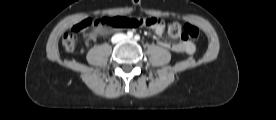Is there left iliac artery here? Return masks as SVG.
I'll return each instance as SVG.
<instances>
[{"label":"left iliac artery","mask_w":276,"mask_h":120,"mask_svg":"<svg viewBox=\"0 0 276 120\" xmlns=\"http://www.w3.org/2000/svg\"><path fill=\"white\" fill-rule=\"evenodd\" d=\"M134 39H135V40H139V39H140V36H139V35H135Z\"/></svg>","instance_id":"1"}]
</instances>
